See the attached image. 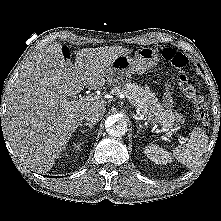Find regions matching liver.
Segmentation results:
<instances>
[{
    "label": "liver",
    "mask_w": 221,
    "mask_h": 221,
    "mask_svg": "<svg viewBox=\"0 0 221 221\" xmlns=\"http://www.w3.org/2000/svg\"><path fill=\"white\" fill-rule=\"evenodd\" d=\"M130 52L121 46L85 48L73 65L54 43L35 55L20 72L7 105L5 128L14 154L31 169L49 171L86 113L107 105L103 99L67 98L84 87L105 88L113 61Z\"/></svg>",
    "instance_id": "obj_1"
}]
</instances>
